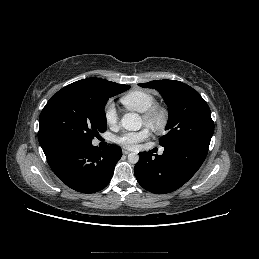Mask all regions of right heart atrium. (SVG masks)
Here are the masks:
<instances>
[{"label":"right heart atrium","mask_w":259,"mask_h":259,"mask_svg":"<svg viewBox=\"0 0 259 259\" xmlns=\"http://www.w3.org/2000/svg\"><path fill=\"white\" fill-rule=\"evenodd\" d=\"M104 118L106 123L113 127L118 122V113L112 101H108L104 106Z\"/></svg>","instance_id":"right-heart-atrium-1"}]
</instances>
